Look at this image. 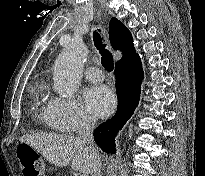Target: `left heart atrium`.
<instances>
[{
  "label": "left heart atrium",
  "mask_w": 205,
  "mask_h": 176,
  "mask_svg": "<svg viewBox=\"0 0 205 176\" xmlns=\"http://www.w3.org/2000/svg\"><path fill=\"white\" fill-rule=\"evenodd\" d=\"M84 100L88 109L98 117L108 116L116 105L115 95L103 85L88 87L84 92Z\"/></svg>",
  "instance_id": "1"
}]
</instances>
